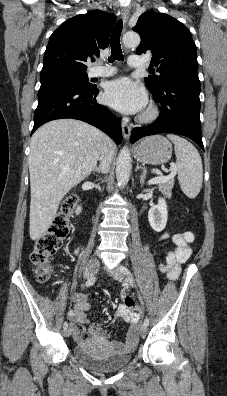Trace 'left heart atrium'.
Instances as JSON below:
<instances>
[{
  "label": "left heart atrium",
  "mask_w": 227,
  "mask_h": 396,
  "mask_svg": "<svg viewBox=\"0 0 227 396\" xmlns=\"http://www.w3.org/2000/svg\"><path fill=\"white\" fill-rule=\"evenodd\" d=\"M103 100L122 113L134 114L145 107L147 97L144 89L137 82L123 77L106 85Z\"/></svg>",
  "instance_id": "1"
}]
</instances>
